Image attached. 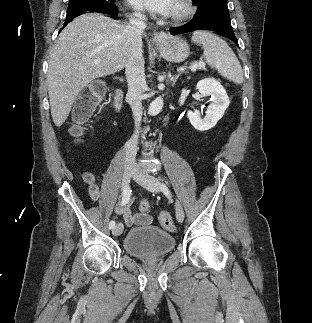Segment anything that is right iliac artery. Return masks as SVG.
Listing matches in <instances>:
<instances>
[{
    "label": "right iliac artery",
    "instance_id": "1",
    "mask_svg": "<svg viewBox=\"0 0 312 323\" xmlns=\"http://www.w3.org/2000/svg\"><path fill=\"white\" fill-rule=\"evenodd\" d=\"M131 192H132V190L129 187L123 189L122 201H121L122 205H125L126 203H128L130 196H131ZM114 227H115V222L111 221L109 223V228L113 229Z\"/></svg>",
    "mask_w": 312,
    "mask_h": 323
}]
</instances>
